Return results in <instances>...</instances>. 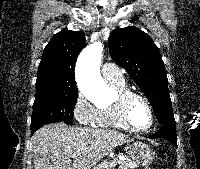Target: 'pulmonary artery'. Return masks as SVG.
Segmentation results:
<instances>
[{
  "label": "pulmonary artery",
  "mask_w": 200,
  "mask_h": 169,
  "mask_svg": "<svg viewBox=\"0 0 200 169\" xmlns=\"http://www.w3.org/2000/svg\"><path fill=\"white\" fill-rule=\"evenodd\" d=\"M101 73L104 80L108 83L124 81L123 75L116 64L104 63L101 67Z\"/></svg>",
  "instance_id": "1"
}]
</instances>
